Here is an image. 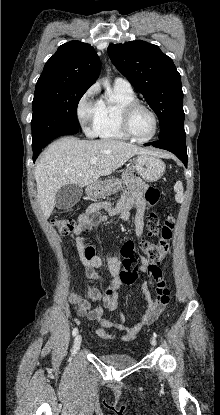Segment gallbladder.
I'll return each mask as SVG.
<instances>
[{"mask_svg": "<svg viewBox=\"0 0 220 415\" xmlns=\"http://www.w3.org/2000/svg\"><path fill=\"white\" fill-rule=\"evenodd\" d=\"M83 194L82 187L68 184L60 188L56 193V207L58 209H70L80 200Z\"/></svg>", "mask_w": 220, "mask_h": 415, "instance_id": "gallbladder-1", "label": "gallbladder"}]
</instances>
